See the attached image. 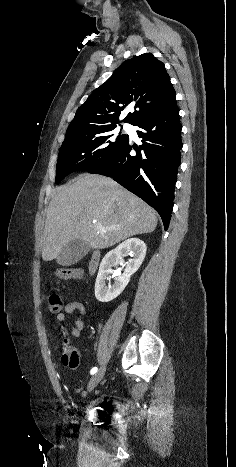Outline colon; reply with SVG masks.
<instances>
[{
    "label": "colon",
    "instance_id": "5ec220e1",
    "mask_svg": "<svg viewBox=\"0 0 236 467\" xmlns=\"http://www.w3.org/2000/svg\"><path fill=\"white\" fill-rule=\"evenodd\" d=\"M55 275L60 279H78L82 276V270L75 267H60L56 269ZM46 304L51 314H58L63 309V301L56 293H50L46 296ZM69 363L75 366L78 363V353L72 351L68 355Z\"/></svg>",
    "mask_w": 236,
    "mask_h": 467
}]
</instances>
